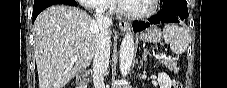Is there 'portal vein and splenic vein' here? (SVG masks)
<instances>
[{
	"label": "portal vein and splenic vein",
	"instance_id": "1",
	"mask_svg": "<svg viewBox=\"0 0 227 88\" xmlns=\"http://www.w3.org/2000/svg\"><path fill=\"white\" fill-rule=\"evenodd\" d=\"M77 57H78V56H77V55H75V56H73V57H72V59H71V60H72V61H75V60L77 59ZM156 57H157V58H159V59H160V58L162 59V58H165V57H166V55H165V54H163V53H161V54H156Z\"/></svg>",
	"mask_w": 227,
	"mask_h": 88
}]
</instances>
